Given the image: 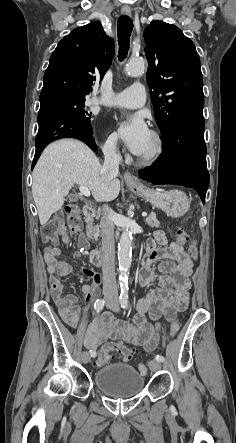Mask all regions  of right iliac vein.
Masks as SVG:
<instances>
[{"instance_id": "63e3f726", "label": "right iliac vein", "mask_w": 236, "mask_h": 443, "mask_svg": "<svg viewBox=\"0 0 236 443\" xmlns=\"http://www.w3.org/2000/svg\"><path fill=\"white\" fill-rule=\"evenodd\" d=\"M111 306H112L111 304H106L107 308H111ZM81 360L84 364H87L90 361V355L87 351H83L81 353Z\"/></svg>"}]
</instances>
